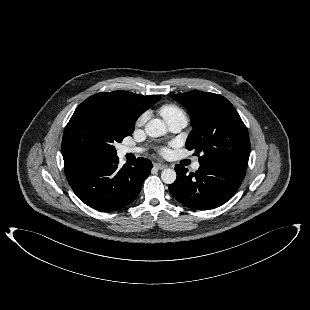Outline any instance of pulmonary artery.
Listing matches in <instances>:
<instances>
[{"instance_id":"obj_1","label":"pulmonary artery","mask_w":310,"mask_h":310,"mask_svg":"<svg viewBox=\"0 0 310 310\" xmlns=\"http://www.w3.org/2000/svg\"><path fill=\"white\" fill-rule=\"evenodd\" d=\"M167 125L172 132H178L187 125V119L174 118V119L168 121ZM142 151H143L142 148L123 146L120 148L119 155L124 156L128 153H141ZM199 168H200L199 162L196 161L192 164V169L194 171L198 170Z\"/></svg>"}]
</instances>
